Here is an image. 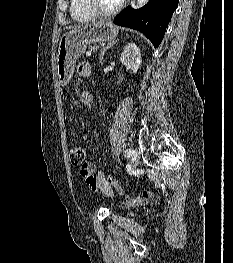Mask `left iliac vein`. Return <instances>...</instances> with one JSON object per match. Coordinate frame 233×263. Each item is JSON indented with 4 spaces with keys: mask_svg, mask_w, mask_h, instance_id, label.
Segmentation results:
<instances>
[{
    "mask_svg": "<svg viewBox=\"0 0 233 263\" xmlns=\"http://www.w3.org/2000/svg\"><path fill=\"white\" fill-rule=\"evenodd\" d=\"M131 160H132V163H133V167H136L138 165V161H139L138 151L133 150Z\"/></svg>",
    "mask_w": 233,
    "mask_h": 263,
    "instance_id": "left-iliac-vein-1",
    "label": "left iliac vein"
}]
</instances>
